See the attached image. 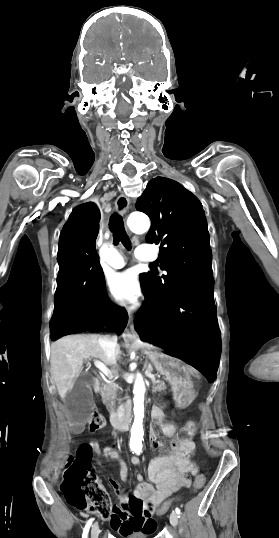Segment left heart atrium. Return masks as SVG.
I'll return each instance as SVG.
<instances>
[{
    "label": "left heart atrium",
    "instance_id": "1",
    "mask_svg": "<svg viewBox=\"0 0 279 538\" xmlns=\"http://www.w3.org/2000/svg\"><path fill=\"white\" fill-rule=\"evenodd\" d=\"M108 286L112 295L124 304H135L140 297L138 277L131 269L111 273L108 276Z\"/></svg>",
    "mask_w": 279,
    "mask_h": 538
}]
</instances>
